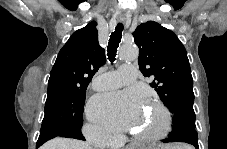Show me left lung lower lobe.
Returning a JSON list of instances; mask_svg holds the SVG:
<instances>
[{
    "instance_id": "obj_1",
    "label": "left lung lower lobe",
    "mask_w": 227,
    "mask_h": 149,
    "mask_svg": "<svg viewBox=\"0 0 227 149\" xmlns=\"http://www.w3.org/2000/svg\"><path fill=\"white\" fill-rule=\"evenodd\" d=\"M164 143L169 142H185L193 145L196 149L198 146V134L195 127H188L185 129H173L168 137L162 140Z\"/></svg>"
}]
</instances>
